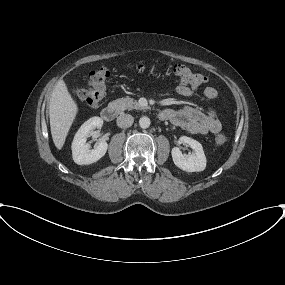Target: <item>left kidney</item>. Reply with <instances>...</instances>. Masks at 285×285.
Returning a JSON list of instances; mask_svg holds the SVG:
<instances>
[{
  "label": "left kidney",
  "mask_w": 285,
  "mask_h": 285,
  "mask_svg": "<svg viewBox=\"0 0 285 285\" xmlns=\"http://www.w3.org/2000/svg\"><path fill=\"white\" fill-rule=\"evenodd\" d=\"M180 142L190 146L194 153L182 154L178 147H174L171 151L174 164L186 172H201L206 168V157L202 145L187 136L180 137Z\"/></svg>",
  "instance_id": "left-kidney-1"
}]
</instances>
